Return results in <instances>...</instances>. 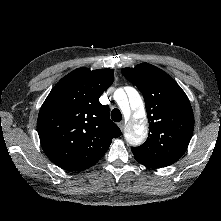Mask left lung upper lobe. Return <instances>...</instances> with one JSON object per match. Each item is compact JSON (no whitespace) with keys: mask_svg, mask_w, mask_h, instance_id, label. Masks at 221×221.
Returning <instances> with one entry per match:
<instances>
[{"mask_svg":"<svg viewBox=\"0 0 221 221\" xmlns=\"http://www.w3.org/2000/svg\"><path fill=\"white\" fill-rule=\"evenodd\" d=\"M124 77L143 94L149 121L144 144L132 147L139 162L166 167L185 153L194 129V116L188 97L167 73L141 63L123 68Z\"/></svg>","mask_w":221,"mask_h":221,"instance_id":"left-lung-upper-lobe-1","label":"left lung upper lobe"}]
</instances>
